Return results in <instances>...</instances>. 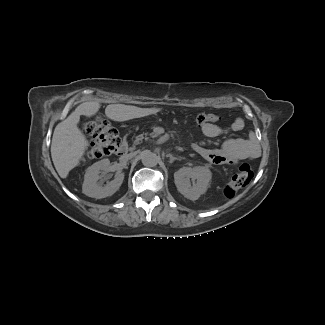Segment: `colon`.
I'll return each mask as SVG.
<instances>
[{
    "mask_svg": "<svg viewBox=\"0 0 325 325\" xmlns=\"http://www.w3.org/2000/svg\"><path fill=\"white\" fill-rule=\"evenodd\" d=\"M218 120L219 117L215 114H200L196 117V122L200 127L207 123H216ZM84 131L90 137L87 148V156L90 158L112 154L120 144L116 129L104 118L97 117L88 121L84 124ZM252 178V167L248 163L241 164L226 184L225 194L229 197L234 196L237 191L246 187Z\"/></svg>",
    "mask_w": 325,
    "mask_h": 325,
    "instance_id": "1",
    "label": "colon"
}]
</instances>
